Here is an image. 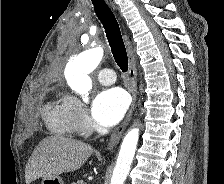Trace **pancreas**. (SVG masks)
Segmentation results:
<instances>
[{
	"label": "pancreas",
	"instance_id": "obj_1",
	"mask_svg": "<svg viewBox=\"0 0 224 184\" xmlns=\"http://www.w3.org/2000/svg\"><path fill=\"white\" fill-rule=\"evenodd\" d=\"M71 184H83V182H82V181H74V182L71 183Z\"/></svg>",
	"mask_w": 224,
	"mask_h": 184
}]
</instances>
